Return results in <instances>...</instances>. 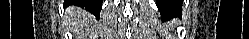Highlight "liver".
Listing matches in <instances>:
<instances>
[{"instance_id":"6515ba94","label":"liver","mask_w":249,"mask_h":39,"mask_svg":"<svg viewBox=\"0 0 249 39\" xmlns=\"http://www.w3.org/2000/svg\"><path fill=\"white\" fill-rule=\"evenodd\" d=\"M77 12H78V14H80V15L83 16V22H86V20H87V18H88L87 12L82 11V10H79V11H77Z\"/></svg>"}]
</instances>
